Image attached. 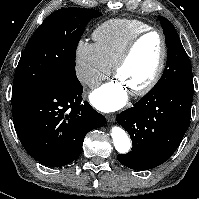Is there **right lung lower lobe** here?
I'll return each instance as SVG.
<instances>
[{
  "mask_svg": "<svg viewBox=\"0 0 199 199\" xmlns=\"http://www.w3.org/2000/svg\"><path fill=\"white\" fill-rule=\"evenodd\" d=\"M82 85H53L12 105L14 127L30 156L45 166L60 167L80 154L85 135L106 119L87 101Z\"/></svg>",
  "mask_w": 199,
  "mask_h": 199,
  "instance_id": "1",
  "label": "right lung lower lobe"
}]
</instances>
